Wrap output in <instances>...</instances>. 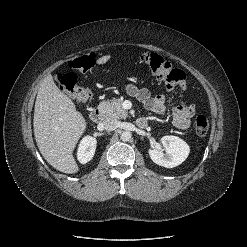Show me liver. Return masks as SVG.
<instances>
[{"label": "liver", "instance_id": "liver-1", "mask_svg": "<svg viewBox=\"0 0 247 247\" xmlns=\"http://www.w3.org/2000/svg\"><path fill=\"white\" fill-rule=\"evenodd\" d=\"M110 58L102 56L97 64H105ZM86 125L73 101L60 91L52 75H47L37 93L33 119L35 140L44 159L60 172H78L72 153Z\"/></svg>", "mask_w": 247, "mask_h": 247}]
</instances>
